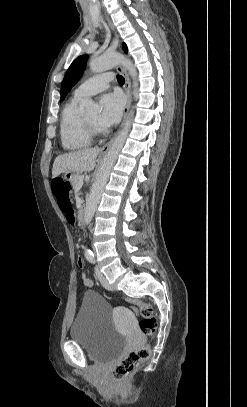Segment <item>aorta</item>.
<instances>
[{"instance_id": "obj_1", "label": "aorta", "mask_w": 247, "mask_h": 407, "mask_svg": "<svg viewBox=\"0 0 247 407\" xmlns=\"http://www.w3.org/2000/svg\"><path fill=\"white\" fill-rule=\"evenodd\" d=\"M121 64L125 67L133 79V88L136 91L138 87L137 83V72L131 60L126 58L120 53H105L99 57H93L90 60L89 66L94 73H101L108 69L113 68L114 66ZM86 109L88 111L98 109V105L92 101L88 100L86 102ZM133 118V111H130L127 119L125 121L123 129L114 139L108 153L103 159L102 165L97 171L95 181L92 185L90 195L86 200V207L84 213V223L89 225L92 221L96 208L100 202L102 193L104 191L105 185L109 179L110 172L117 160V157L128 137V133L131 127ZM89 254V250L85 249V255Z\"/></svg>"}]
</instances>
